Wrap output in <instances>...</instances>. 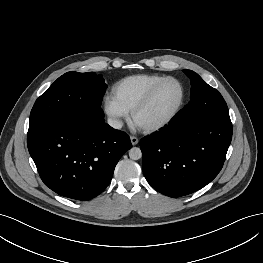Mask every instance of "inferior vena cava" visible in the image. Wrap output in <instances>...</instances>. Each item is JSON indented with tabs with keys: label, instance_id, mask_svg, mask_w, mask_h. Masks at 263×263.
I'll return each instance as SVG.
<instances>
[{
	"label": "inferior vena cava",
	"instance_id": "inferior-vena-cava-1",
	"mask_svg": "<svg viewBox=\"0 0 263 263\" xmlns=\"http://www.w3.org/2000/svg\"><path fill=\"white\" fill-rule=\"evenodd\" d=\"M108 124L115 129H121L123 126V123L120 120L114 118H109Z\"/></svg>",
	"mask_w": 263,
	"mask_h": 263
}]
</instances>
